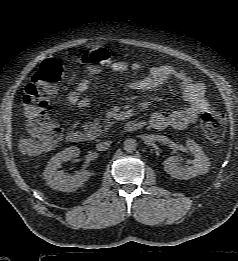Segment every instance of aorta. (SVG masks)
<instances>
[{
	"label": "aorta",
	"mask_w": 238,
	"mask_h": 261,
	"mask_svg": "<svg viewBox=\"0 0 238 261\" xmlns=\"http://www.w3.org/2000/svg\"><path fill=\"white\" fill-rule=\"evenodd\" d=\"M137 148V142L133 138H128L124 141V150L128 153H132Z\"/></svg>",
	"instance_id": "obj_1"
}]
</instances>
